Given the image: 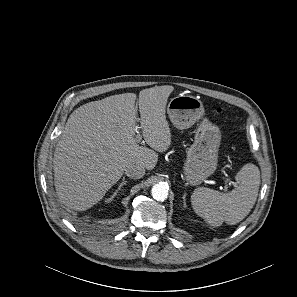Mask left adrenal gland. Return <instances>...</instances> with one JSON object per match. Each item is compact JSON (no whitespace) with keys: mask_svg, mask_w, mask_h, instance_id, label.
I'll return each mask as SVG.
<instances>
[{"mask_svg":"<svg viewBox=\"0 0 297 297\" xmlns=\"http://www.w3.org/2000/svg\"><path fill=\"white\" fill-rule=\"evenodd\" d=\"M183 204H184V207H186V193H184L183 195Z\"/></svg>","mask_w":297,"mask_h":297,"instance_id":"obj_1","label":"left adrenal gland"}]
</instances>
